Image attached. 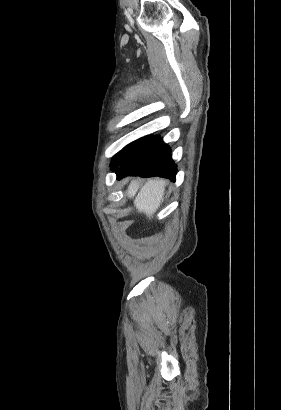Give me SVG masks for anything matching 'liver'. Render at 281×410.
<instances>
[{
  "mask_svg": "<svg viewBox=\"0 0 281 410\" xmlns=\"http://www.w3.org/2000/svg\"><path fill=\"white\" fill-rule=\"evenodd\" d=\"M138 190L139 182L134 179L128 187L127 195L130 199H134V206L138 212L144 213L151 219L164 200L165 181L151 179Z\"/></svg>",
  "mask_w": 281,
  "mask_h": 410,
  "instance_id": "1",
  "label": "liver"
}]
</instances>
